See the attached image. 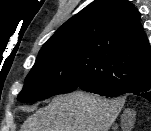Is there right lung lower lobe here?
Here are the masks:
<instances>
[{
	"label": "right lung lower lobe",
	"instance_id": "98d812e1",
	"mask_svg": "<svg viewBox=\"0 0 151 131\" xmlns=\"http://www.w3.org/2000/svg\"><path fill=\"white\" fill-rule=\"evenodd\" d=\"M78 88L106 97H118L126 93H132L134 95L141 96L148 101H151V83L137 85L130 88H116L106 85H95L86 80L78 83Z\"/></svg>",
	"mask_w": 151,
	"mask_h": 131
}]
</instances>
